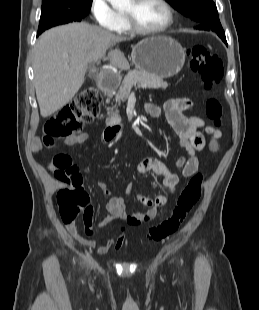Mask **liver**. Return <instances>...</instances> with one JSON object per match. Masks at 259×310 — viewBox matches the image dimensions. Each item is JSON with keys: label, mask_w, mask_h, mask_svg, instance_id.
I'll return each mask as SVG.
<instances>
[{"label": "liver", "mask_w": 259, "mask_h": 310, "mask_svg": "<svg viewBox=\"0 0 259 310\" xmlns=\"http://www.w3.org/2000/svg\"><path fill=\"white\" fill-rule=\"evenodd\" d=\"M124 38L87 23H71L43 33L33 49L36 97L42 117L69 103L85 80L89 63L108 59L113 66L128 69L124 54L106 51Z\"/></svg>", "instance_id": "6515ba94"}]
</instances>
